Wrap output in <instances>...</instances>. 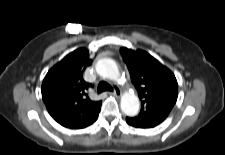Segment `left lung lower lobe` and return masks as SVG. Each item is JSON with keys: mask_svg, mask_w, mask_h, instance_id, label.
Segmentation results:
<instances>
[{"mask_svg": "<svg viewBox=\"0 0 225 155\" xmlns=\"http://www.w3.org/2000/svg\"><path fill=\"white\" fill-rule=\"evenodd\" d=\"M126 122L129 124V125H131V126H133V127H137V128H152V127H140V126H137L136 124H135V122L133 121V119L132 118H129V117H127L126 118Z\"/></svg>", "mask_w": 225, "mask_h": 155, "instance_id": "left-lung-lower-lobe-1", "label": "left lung lower lobe"}]
</instances>
